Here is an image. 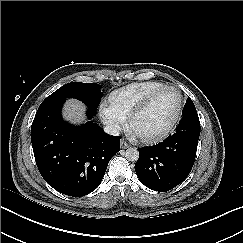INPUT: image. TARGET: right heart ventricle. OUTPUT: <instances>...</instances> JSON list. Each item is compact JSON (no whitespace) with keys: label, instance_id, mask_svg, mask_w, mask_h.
Segmentation results:
<instances>
[{"label":"right heart ventricle","instance_id":"right-heart-ventricle-1","mask_svg":"<svg viewBox=\"0 0 243 243\" xmlns=\"http://www.w3.org/2000/svg\"><path fill=\"white\" fill-rule=\"evenodd\" d=\"M166 85L158 80H147L128 84L109 97L110 109L122 117H128L132 110L145 98Z\"/></svg>","mask_w":243,"mask_h":243}]
</instances>
